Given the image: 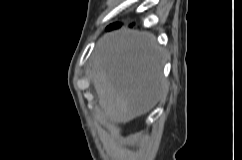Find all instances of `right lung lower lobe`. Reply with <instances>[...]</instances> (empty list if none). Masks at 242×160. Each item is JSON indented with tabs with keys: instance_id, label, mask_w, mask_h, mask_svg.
<instances>
[{
	"instance_id": "1",
	"label": "right lung lower lobe",
	"mask_w": 242,
	"mask_h": 160,
	"mask_svg": "<svg viewBox=\"0 0 242 160\" xmlns=\"http://www.w3.org/2000/svg\"><path fill=\"white\" fill-rule=\"evenodd\" d=\"M121 24H115V25H113V26H111V27H108L107 29H112V28H116V27H119Z\"/></svg>"
}]
</instances>
